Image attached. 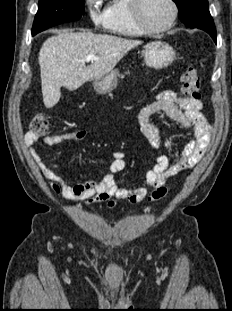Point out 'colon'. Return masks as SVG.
<instances>
[{"label":"colon","instance_id":"obj_1","mask_svg":"<svg viewBox=\"0 0 232 311\" xmlns=\"http://www.w3.org/2000/svg\"><path fill=\"white\" fill-rule=\"evenodd\" d=\"M182 93L184 97L190 100L200 99L201 81L196 69L188 66L181 77ZM49 118L44 113H37L29 122V129L37 135H45L49 130ZM167 195V189L163 186L158 187L149 197L150 202L162 200Z\"/></svg>","mask_w":232,"mask_h":311}]
</instances>
